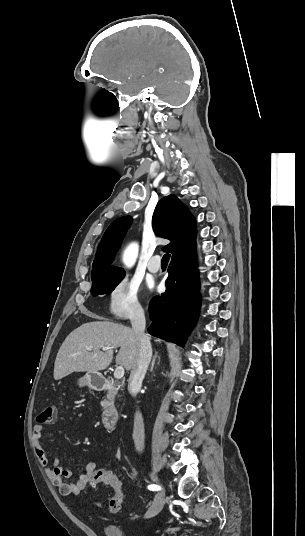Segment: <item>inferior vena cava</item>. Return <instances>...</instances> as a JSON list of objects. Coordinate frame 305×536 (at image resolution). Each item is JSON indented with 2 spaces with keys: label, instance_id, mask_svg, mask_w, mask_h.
Listing matches in <instances>:
<instances>
[{
  "label": "inferior vena cava",
  "instance_id": "1",
  "mask_svg": "<svg viewBox=\"0 0 305 536\" xmlns=\"http://www.w3.org/2000/svg\"><path fill=\"white\" fill-rule=\"evenodd\" d=\"M131 326L135 334H137L140 344L137 364L131 370L128 386L130 394L136 396L142 386L152 356L150 340L144 334L146 320L143 308H135L134 314L131 316ZM132 436L137 452H142L145 442V430L141 412H136L135 414Z\"/></svg>",
  "mask_w": 305,
  "mask_h": 536
}]
</instances>
